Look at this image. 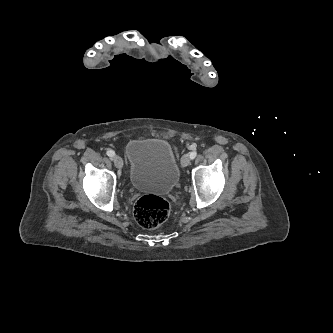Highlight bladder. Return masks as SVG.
Returning a JSON list of instances; mask_svg holds the SVG:
<instances>
[{"label":"bladder","instance_id":"31cf9c89","mask_svg":"<svg viewBox=\"0 0 333 333\" xmlns=\"http://www.w3.org/2000/svg\"><path fill=\"white\" fill-rule=\"evenodd\" d=\"M130 184L145 192L168 193L179 181L180 171L171 145L163 139L128 142Z\"/></svg>","mask_w":333,"mask_h":333}]
</instances>
